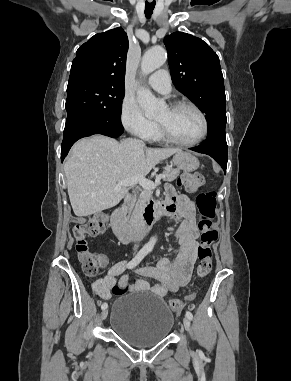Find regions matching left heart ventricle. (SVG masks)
Listing matches in <instances>:
<instances>
[{
	"label": "left heart ventricle",
	"mask_w": 291,
	"mask_h": 381,
	"mask_svg": "<svg viewBox=\"0 0 291 381\" xmlns=\"http://www.w3.org/2000/svg\"><path fill=\"white\" fill-rule=\"evenodd\" d=\"M175 138L181 141H192L202 131L200 116L190 108L171 111L164 109L156 118Z\"/></svg>",
	"instance_id": "b2bd125f"
}]
</instances>
